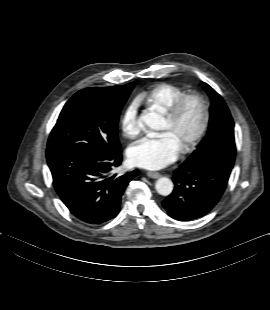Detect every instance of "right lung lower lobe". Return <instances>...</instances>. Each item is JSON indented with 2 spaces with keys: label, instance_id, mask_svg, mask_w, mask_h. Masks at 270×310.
<instances>
[{
  "label": "right lung lower lobe",
  "instance_id": "right-lung-lower-lobe-1",
  "mask_svg": "<svg viewBox=\"0 0 270 310\" xmlns=\"http://www.w3.org/2000/svg\"><path fill=\"white\" fill-rule=\"evenodd\" d=\"M47 161L53 185L69 211L83 222L101 224L120 211L121 197L138 170L112 175L122 155L94 152L74 147L47 148Z\"/></svg>",
  "mask_w": 270,
  "mask_h": 310
}]
</instances>
